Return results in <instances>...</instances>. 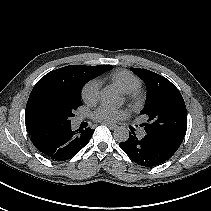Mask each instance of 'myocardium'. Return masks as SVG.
<instances>
[{"mask_svg": "<svg viewBox=\"0 0 211 211\" xmlns=\"http://www.w3.org/2000/svg\"><path fill=\"white\" fill-rule=\"evenodd\" d=\"M132 97H135V94H132Z\"/></svg>", "mask_w": 211, "mask_h": 211, "instance_id": "obj_1", "label": "myocardium"}]
</instances>
